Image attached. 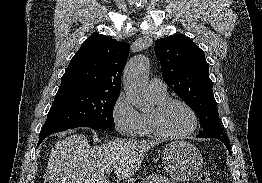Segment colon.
I'll list each match as a JSON object with an SVG mask.
<instances>
[{"label":"colon","instance_id":"colon-1","mask_svg":"<svg viewBox=\"0 0 262 183\" xmlns=\"http://www.w3.org/2000/svg\"><path fill=\"white\" fill-rule=\"evenodd\" d=\"M197 183H211V174L208 171L201 172L197 176Z\"/></svg>","mask_w":262,"mask_h":183}]
</instances>
